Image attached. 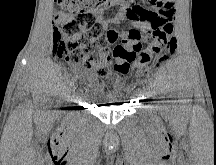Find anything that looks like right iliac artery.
I'll list each match as a JSON object with an SVG mask.
<instances>
[{"label": "right iliac artery", "mask_w": 216, "mask_h": 165, "mask_svg": "<svg viewBox=\"0 0 216 165\" xmlns=\"http://www.w3.org/2000/svg\"><path fill=\"white\" fill-rule=\"evenodd\" d=\"M74 78L72 77L69 81L68 87H67V91H66V98H68L69 100L73 99L72 91H73V87H74Z\"/></svg>", "instance_id": "right-iliac-artery-1"}]
</instances>
